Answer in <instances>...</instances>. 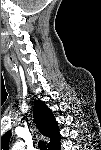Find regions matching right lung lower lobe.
<instances>
[{"label": "right lung lower lobe", "mask_w": 101, "mask_h": 150, "mask_svg": "<svg viewBox=\"0 0 101 150\" xmlns=\"http://www.w3.org/2000/svg\"><path fill=\"white\" fill-rule=\"evenodd\" d=\"M54 150H59V146H58V147H56Z\"/></svg>", "instance_id": "1"}]
</instances>
